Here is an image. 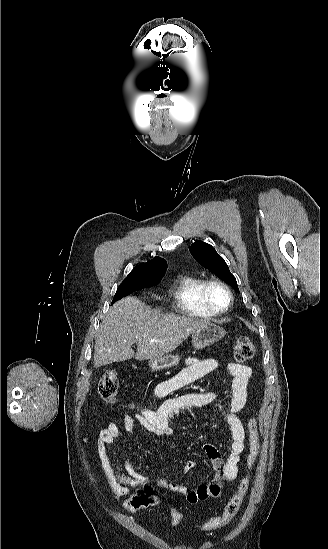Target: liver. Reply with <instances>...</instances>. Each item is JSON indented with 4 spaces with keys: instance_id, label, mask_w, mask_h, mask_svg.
<instances>
[{
    "instance_id": "obj_1",
    "label": "liver",
    "mask_w": 328,
    "mask_h": 549,
    "mask_svg": "<svg viewBox=\"0 0 328 549\" xmlns=\"http://www.w3.org/2000/svg\"><path fill=\"white\" fill-rule=\"evenodd\" d=\"M209 321L188 315H162L136 297L115 303L101 321L95 341L94 367L115 361L157 359L175 351L194 331ZM153 341V343H151ZM136 343L134 355L132 345Z\"/></svg>"
}]
</instances>
